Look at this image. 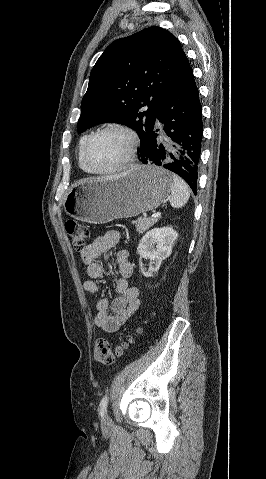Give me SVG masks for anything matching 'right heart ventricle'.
Listing matches in <instances>:
<instances>
[{"instance_id":"right-heart-ventricle-1","label":"right heart ventricle","mask_w":266,"mask_h":479,"mask_svg":"<svg viewBox=\"0 0 266 479\" xmlns=\"http://www.w3.org/2000/svg\"><path fill=\"white\" fill-rule=\"evenodd\" d=\"M90 134H85L81 139H80V142H79V148H78V165L80 167V169L86 173H90L88 171V169L86 168L84 162H83V159H82V151H83V147L86 143V140L87 138L89 137Z\"/></svg>"}]
</instances>
